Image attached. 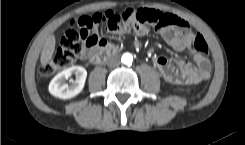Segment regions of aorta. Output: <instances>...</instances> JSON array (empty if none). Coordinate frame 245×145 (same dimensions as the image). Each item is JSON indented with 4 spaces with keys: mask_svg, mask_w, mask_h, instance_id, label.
Returning a JSON list of instances; mask_svg holds the SVG:
<instances>
[{
    "mask_svg": "<svg viewBox=\"0 0 245 145\" xmlns=\"http://www.w3.org/2000/svg\"><path fill=\"white\" fill-rule=\"evenodd\" d=\"M121 62L125 65H131L133 62V56L130 53H124L121 57Z\"/></svg>",
    "mask_w": 245,
    "mask_h": 145,
    "instance_id": "aorta-1",
    "label": "aorta"
}]
</instances>
